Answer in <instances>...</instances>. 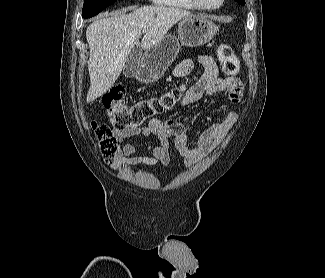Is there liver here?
<instances>
[{
	"mask_svg": "<svg viewBox=\"0 0 325 278\" xmlns=\"http://www.w3.org/2000/svg\"><path fill=\"white\" fill-rule=\"evenodd\" d=\"M133 12L126 14L128 10ZM194 16L191 12L160 5L125 8L87 27L90 48L88 70L90 88L87 103L106 93L118 79L135 45L148 50L158 44L178 21ZM146 30L141 43L139 36Z\"/></svg>",
	"mask_w": 325,
	"mask_h": 278,
	"instance_id": "obj_1",
	"label": "liver"
}]
</instances>
